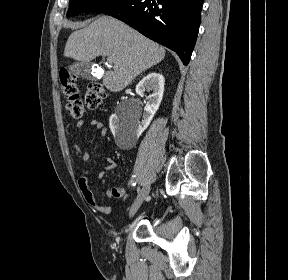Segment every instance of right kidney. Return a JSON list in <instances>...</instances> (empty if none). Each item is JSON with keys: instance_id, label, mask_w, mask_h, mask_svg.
<instances>
[{"instance_id": "ca27d5eb", "label": "right kidney", "mask_w": 288, "mask_h": 280, "mask_svg": "<svg viewBox=\"0 0 288 280\" xmlns=\"http://www.w3.org/2000/svg\"><path fill=\"white\" fill-rule=\"evenodd\" d=\"M136 93L141 97L152 91L147 97L146 106L141 121H135L130 127L124 126L116 115L110 117V129L118 146L131 147L149 126L162 101L164 92V77L159 73H150L136 86Z\"/></svg>"}]
</instances>
